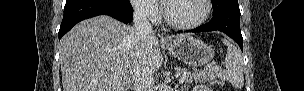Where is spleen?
<instances>
[{
    "label": "spleen",
    "instance_id": "3e777b00",
    "mask_svg": "<svg viewBox=\"0 0 304 91\" xmlns=\"http://www.w3.org/2000/svg\"><path fill=\"white\" fill-rule=\"evenodd\" d=\"M227 48L225 57L226 70L224 77L237 89H241L244 85L243 76V58L241 52L227 39L222 40Z\"/></svg>",
    "mask_w": 304,
    "mask_h": 91
}]
</instances>
